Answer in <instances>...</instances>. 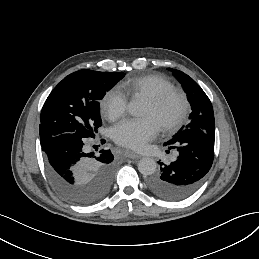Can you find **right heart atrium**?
I'll return each instance as SVG.
<instances>
[{
	"instance_id": "right-heart-atrium-1",
	"label": "right heart atrium",
	"mask_w": 259,
	"mask_h": 259,
	"mask_svg": "<svg viewBox=\"0 0 259 259\" xmlns=\"http://www.w3.org/2000/svg\"><path fill=\"white\" fill-rule=\"evenodd\" d=\"M104 104L107 115L110 118L122 116L127 109V101L116 91L110 90L104 96Z\"/></svg>"
}]
</instances>
